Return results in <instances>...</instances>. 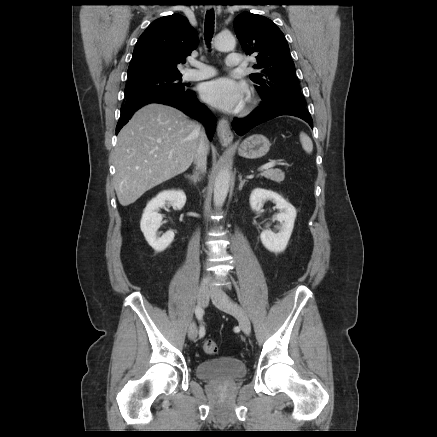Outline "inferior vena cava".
Wrapping results in <instances>:
<instances>
[{
  "mask_svg": "<svg viewBox=\"0 0 437 437\" xmlns=\"http://www.w3.org/2000/svg\"><path fill=\"white\" fill-rule=\"evenodd\" d=\"M200 142L197 149V153L194 159V163L197 165V168L202 172H206V164H207V154L209 150L208 139L205 134V131L200 128ZM206 280H209L206 278Z\"/></svg>",
  "mask_w": 437,
  "mask_h": 437,
  "instance_id": "1",
  "label": "inferior vena cava"
}]
</instances>
